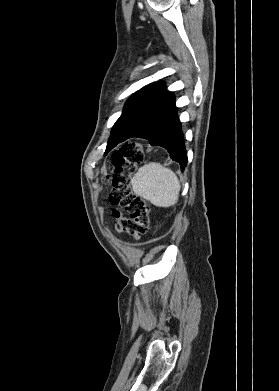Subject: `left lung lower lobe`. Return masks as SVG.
Here are the masks:
<instances>
[{
    "mask_svg": "<svg viewBox=\"0 0 279 391\" xmlns=\"http://www.w3.org/2000/svg\"><path fill=\"white\" fill-rule=\"evenodd\" d=\"M132 137L145 138L152 146H162L169 152L172 160L180 164L181 171L186 167L187 152L185 150L181 123L178 119L177 108L175 106L149 127L138 134L127 136L126 139Z\"/></svg>",
    "mask_w": 279,
    "mask_h": 391,
    "instance_id": "1",
    "label": "left lung lower lobe"
}]
</instances>
